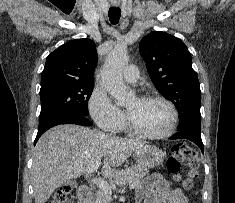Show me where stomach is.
Instances as JSON below:
<instances>
[{
  "instance_id": "stomach-1",
  "label": "stomach",
  "mask_w": 235,
  "mask_h": 203,
  "mask_svg": "<svg viewBox=\"0 0 235 203\" xmlns=\"http://www.w3.org/2000/svg\"><path fill=\"white\" fill-rule=\"evenodd\" d=\"M135 156L140 166L153 168L164 161L165 153L153 145H144L135 150Z\"/></svg>"
}]
</instances>
